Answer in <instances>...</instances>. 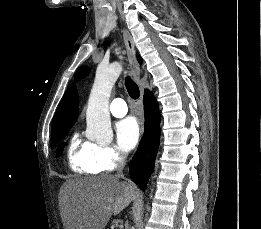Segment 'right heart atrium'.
<instances>
[{"instance_id": "obj_1", "label": "right heart atrium", "mask_w": 261, "mask_h": 229, "mask_svg": "<svg viewBox=\"0 0 261 229\" xmlns=\"http://www.w3.org/2000/svg\"><path fill=\"white\" fill-rule=\"evenodd\" d=\"M126 162V154L112 143L96 144L93 164L97 172H112L120 169Z\"/></svg>"}]
</instances>
